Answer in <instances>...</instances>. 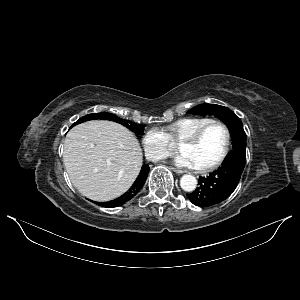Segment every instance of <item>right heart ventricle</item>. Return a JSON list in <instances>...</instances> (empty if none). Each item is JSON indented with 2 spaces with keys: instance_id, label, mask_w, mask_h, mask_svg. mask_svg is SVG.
<instances>
[{
  "instance_id": "right-heart-ventricle-1",
  "label": "right heart ventricle",
  "mask_w": 300,
  "mask_h": 300,
  "mask_svg": "<svg viewBox=\"0 0 300 300\" xmlns=\"http://www.w3.org/2000/svg\"><path fill=\"white\" fill-rule=\"evenodd\" d=\"M211 120L204 117H185L172 122L164 129L172 143H180Z\"/></svg>"
}]
</instances>
